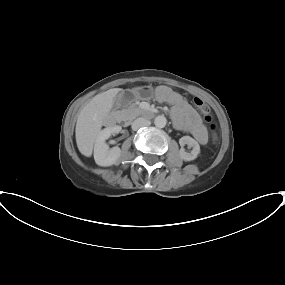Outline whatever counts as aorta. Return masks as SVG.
<instances>
[{
    "mask_svg": "<svg viewBox=\"0 0 285 285\" xmlns=\"http://www.w3.org/2000/svg\"><path fill=\"white\" fill-rule=\"evenodd\" d=\"M167 119L164 115H159L155 118L154 124L158 128H164L166 126Z\"/></svg>",
    "mask_w": 285,
    "mask_h": 285,
    "instance_id": "aorta-1",
    "label": "aorta"
}]
</instances>
